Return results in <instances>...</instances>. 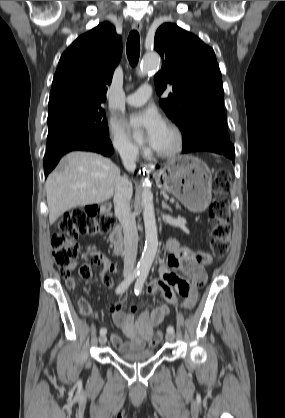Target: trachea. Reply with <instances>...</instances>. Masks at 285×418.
<instances>
[{
	"instance_id": "3493384b",
	"label": "trachea",
	"mask_w": 285,
	"mask_h": 418,
	"mask_svg": "<svg viewBox=\"0 0 285 418\" xmlns=\"http://www.w3.org/2000/svg\"><path fill=\"white\" fill-rule=\"evenodd\" d=\"M126 51L131 66H136L140 56V37L139 33L135 30L129 34Z\"/></svg>"
}]
</instances>
